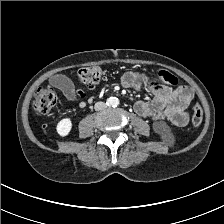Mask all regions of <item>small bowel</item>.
<instances>
[{
	"instance_id": "c3829d8e",
	"label": "small bowel",
	"mask_w": 224,
	"mask_h": 224,
	"mask_svg": "<svg viewBox=\"0 0 224 224\" xmlns=\"http://www.w3.org/2000/svg\"><path fill=\"white\" fill-rule=\"evenodd\" d=\"M50 83L57 87L69 101L77 99L76 89L69 78L57 75L51 78ZM121 83L126 88L145 89L152 94L153 99L135 103L134 109L139 116L153 121L169 120L179 127L187 124L186 108L194 96L190 87L179 86L172 90L167 86L151 82L146 75L136 71L125 73Z\"/></svg>"
}]
</instances>
